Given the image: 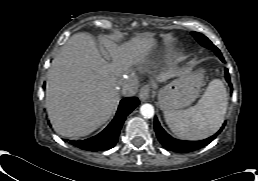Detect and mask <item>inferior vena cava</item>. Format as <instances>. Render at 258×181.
<instances>
[{"instance_id":"602c4592","label":"inferior vena cava","mask_w":258,"mask_h":181,"mask_svg":"<svg viewBox=\"0 0 258 181\" xmlns=\"http://www.w3.org/2000/svg\"><path fill=\"white\" fill-rule=\"evenodd\" d=\"M139 83L135 77H127L119 79V89L123 96H134L138 91Z\"/></svg>"}]
</instances>
